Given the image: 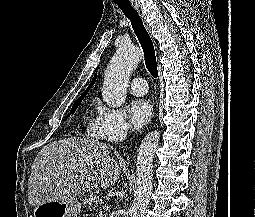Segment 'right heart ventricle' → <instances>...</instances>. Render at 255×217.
Returning a JSON list of instances; mask_svg holds the SVG:
<instances>
[{"label":"right heart ventricle","instance_id":"right-heart-ventricle-1","mask_svg":"<svg viewBox=\"0 0 255 217\" xmlns=\"http://www.w3.org/2000/svg\"><path fill=\"white\" fill-rule=\"evenodd\" d=\"M92 125H93V122H88V130L91 132L92 131ZM92 133V132H91Z\"/></svg>","mask_w":255,"mask_h":217}]
</instances>
